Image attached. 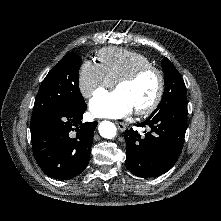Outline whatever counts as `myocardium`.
Segmentation results:
<instances>
[{
	"mask_svg": "<svg viewBox=\"0 0 221 221\" xmlns=\"http://www.w3.org/2000/svg\"><path fill=\"white\" fill-rule=\"evenodd\" d=\"M149 72L156 74L158 78V90L154 100L148 106L135 110V113L139 116L151 114L160 105L165 92V77L163 72L154 65H145L137 67L116 81V86L119 87L122 84L134 82Z\"/></svg>",
	"mask_w": 221,
	"mask_h": 221,
	"instance_id": "myocardium-1",
	"label": "myocardium"
}]
</instances>
